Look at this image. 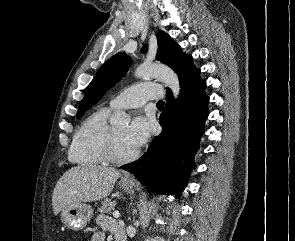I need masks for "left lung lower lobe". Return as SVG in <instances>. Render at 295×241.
Segmentation results:
<instances>
[{
  "label": "left lung lower lobe",
  "instance_id": "left-lung-lower-lobe-1",
  "mask_svg": "<svg viewBox=\"0 0 295 241\" xmlns=\"http://www.w3.org/2000/svg\"><path fill=\"white\" fill-rule=\"evenodd\" d=\"M199 74L183 84L175 103L171 91H167V103L159 118L162 133L139 160L121 166L155 194L179 198L195 166L194 155L209 114L206 82Z\"/></svg>",
  "mask_w": 295,
  "mask_h": 241
}]
</instances>
